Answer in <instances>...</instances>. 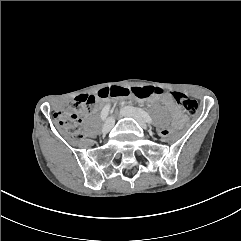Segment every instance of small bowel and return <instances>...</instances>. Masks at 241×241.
<instances>
[{
	"instance_id": "1",
	"label": "small bowel",
	"mask_w": 241,
	"mask_h": 241,
	"mask_svg": "<svg viewBox=\"0 0 241 241\" xmlns=\"http://www.w3.org/2000/svg\"><path fill=\"white\" fill-rule=\"evenodd\" d=\"M152 99L153 100H158L163 105H165L166 108L173 114V116L176 119H180L181 118V114H180L177 106L175 105V103L173 102V100L171 99V97L168 94L156 95Z\"/></svg>"
}]
</instances>
